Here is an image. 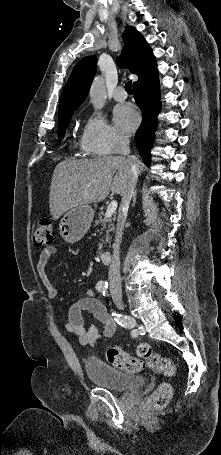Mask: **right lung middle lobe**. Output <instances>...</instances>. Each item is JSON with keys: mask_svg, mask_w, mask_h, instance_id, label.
<instances>
[{"mask_svg": "<svg viewBox=\"0 0 221 455\" xmlns=\"http://www.w3.org/2000/svg\"><path fill=\"white\" fill-rule=\"evenodd\" d=\"M72 115H73V111H66V112L58 113V121H59L58 136L59 137H64L66 128L69 125Z\"/></svg>", "mask_w": 221, "mask_h": 455, "instance_id": "obj_1", "label": "right lung middle lobe"}]
</instances>
